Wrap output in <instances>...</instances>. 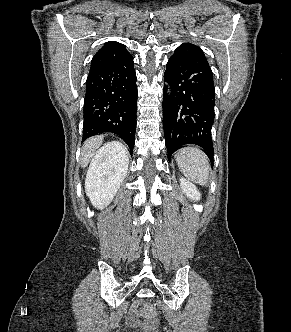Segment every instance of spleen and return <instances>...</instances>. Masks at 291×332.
I'll return each mask as SVG.
<instances>
[{
  "label": "spleen",
  "instance_id": "spleen-1",
  "mask_svg": "<svg viewBox=\"0 0 291 332\" xmlns=\"http://www.w3.org/2000/svg\"><path fill=\"white\" fill-rule=\"evenodd\" d=\"M181 172L191 181L206 185L209 181L210 164L206 154L198 147L187 146L175 156Z\"/></svg>",
  "mask_w": 291,
  "mask_h": 332
}]
</instances>
